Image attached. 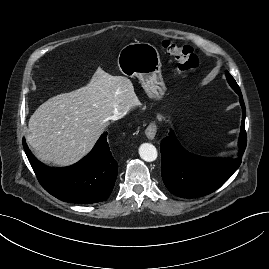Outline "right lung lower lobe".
Segmentation results:
<instances>
[{"mask_svg":"<svg viewBox=\"0 0 269 269\" xmlns=\"http://www.w3.org/2000/svg\"><path fill=\"white\" fill-rule=\"evenodd\" d=\"M23 147L40 184L54 197L70 203H96L106 200L114 187L118 164L101 135L92 151L76 164L65 168L45 166L31 153L25 140Z\"/></svg>","mask_w":269,"mask_h":269,"instance_id":"98d812e1","label":"right lung lower lobe"}]
</instances>
